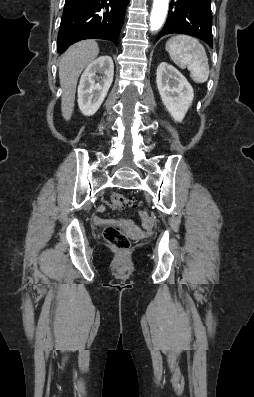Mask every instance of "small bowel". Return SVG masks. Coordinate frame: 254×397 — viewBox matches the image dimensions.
<instances>
[{"label":"small bowel","mask_w":254,"mask_h":397,"mask_svg":"<svg viewBox=\"0 0 254 397\" xmlns=\"http://www.w3.org/2000/svg\"><path fill=\"white\" fill-rule=\"evenodd\" d=\"M105 209H106V207H105L104 205H99V206L96 208V211H97V212H104ZM142 218H143V226H144V228H145V229H149V227H150V222H149L148 218L145 217L144 215H142ZM92 223H93L95 226H105V225L116 224L117 221H115V220L102 219V218H100V217H93V218H92ZM122 223H124V224H126V225H130V223H129L128 221H122Z\"/></svg>","instance_id":"c3829d8e"}]
</instances>
